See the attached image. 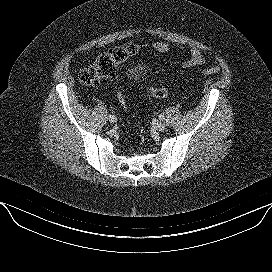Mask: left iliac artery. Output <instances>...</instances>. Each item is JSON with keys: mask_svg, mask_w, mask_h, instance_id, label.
Listing matches in <instances>:
<instances>
[{"mask_svg": "<svg viewBox=\"0 0 272 272\" xmlns=\"http://www.w3.org/2000/svg\"><path fill=\"white\" fill-rule=\"evenodd\" d=\"M159 119H160V120H164V119H165L164 115H163V114H160V115H159Z\"/></svg>", "mask_w": 272, "mask_h": 272, "instance_id": "obj_1", "label": "left iliac artery"}]
</instances>
